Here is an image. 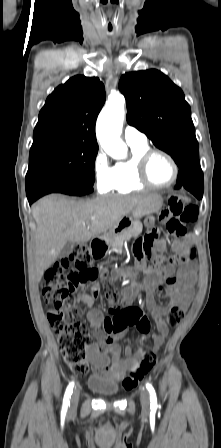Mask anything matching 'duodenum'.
I'll return each mask as SVG.
<instances>
[{
    "label": "duodenum",
    "mask_w": 221,
    "mask_h": 448,
    "mask_svg": "<svg viewBox=\"0 0 221 448\" xmlns=\"http://www.w3.org/2000/svg\"><path fill=\"white\" fill-rule=\"evenodd\" d=\"M108 249V239L104 236L95 238L90 245V254L94 259H102Z\"/></svg>",
    "instance_id": "obj_1"
}]
</instances>
